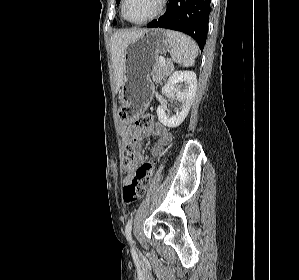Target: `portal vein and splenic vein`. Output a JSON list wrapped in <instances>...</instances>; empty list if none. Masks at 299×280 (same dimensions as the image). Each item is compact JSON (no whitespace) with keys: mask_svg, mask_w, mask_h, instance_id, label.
<instances>
[{"mask_svg":"<svg viewBox=\"0 0 299 280\" xmlns=\"http://www.w3.org/2000/svg\"><path fill=\"white\" fill-rule=\"evenodd\" d=\"M159 62L161 64V66H165V59L163 57L159 58Z\"/></svg>","mask_w":299,"mask_h":280,"instance_id":"obj_1","label":"portal vein and splenic vein"}]
</instances>
